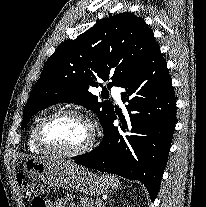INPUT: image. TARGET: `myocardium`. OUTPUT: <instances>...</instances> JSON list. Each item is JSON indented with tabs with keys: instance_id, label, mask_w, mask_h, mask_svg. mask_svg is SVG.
<instances>
[{
	"instance_id": "myocardium-1",
	"label": "myocardium",
	"mask_w": 206,
	"mask_h": 207,
	"mask_svg": "<svg viewBox=\"0 0 206 207\" xmlns=\"http://www.w3.org/2000/svg\"><path fill=\"white\" fill-rule=\"evenodd\" d=\"M65 117H73V118L81 119L89 126L91 130V138L86 145L76 150L66 151L60 148H55L53 146H50L42 139V135H41L42 130L47 124H49L50 122L56 119L65 118ZM33 142L34 145L43 152L51 153L62 157H77L90 152L95 147L97 142V132L94 122L91 120V118L88 115L84 114L83 112L78 110H59L44 116L37 123L33 131Z\"/></svg>"
}]
</instances>
